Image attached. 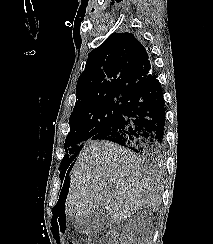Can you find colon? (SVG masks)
Wrapping results in <instances>:
<instances>
[{"instance_id":"colon-1","label":"colon","mask_w":213,"mask_h":244,"mask_svg":"<svg viewBox=\"0 0 213 244\" xmlns=\"http://www.w3.org/2000/svg\"><path fill=\"white\" fill-rule=\"evenodd\" d=\"M66 244H78V243H76L75 241H72V240H68V241L66 242Z\"/></svg>"}]
</instances>
